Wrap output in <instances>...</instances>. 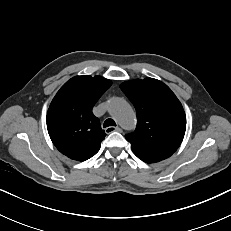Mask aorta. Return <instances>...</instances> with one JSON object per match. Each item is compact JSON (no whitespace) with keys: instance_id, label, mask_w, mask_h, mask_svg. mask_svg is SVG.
<instances>
[{"instance_id":"obj_1","label":"aorta","mask_w":231,"mask_h":231,"mask_svg":"<svg viewBox=\"0 0 231 231\" xmlns=\"http://www.w3.org/2000/svg\"><path fill=\"white\" fill-rule=\"evenodd\" d=\"M109 112L125 128L134 126V114L131 106L122 98L113 97L108 102Z\"/></svg>"}]
</instances>
